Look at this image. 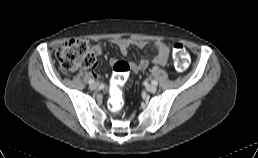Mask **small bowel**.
<instances>
[{
  "instance_id": "c3829d8e",
  "label": "small bowel",
  "mask_w": 258,
  "mask_h": 158,
  "mask_svg": "<svg viewBox=\"0 0 258 158\" xmlns=\"http://www.w3.org/2000/svg\"><path fill=\"white\" fill-rule=\"evenodd\" d=\"M112 44L117 46L123 56H127L128 48L130 46H136L138 48L149 47L156 52V55L152 59V62L157 65L164 66L167 64L170 56V46L161 41H146L142 39H125V38H115L110 41ZM92 52L95 55H100L103 51V45L97 43L92 46ZM111 64L114 65L117 62L115 59H111ZM150 61L146 58L141 59L138 63L131 62L130 67L133 72L143 71L149 66Z\"/></svg>"
}]
</instances>
